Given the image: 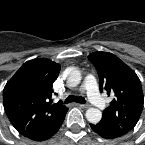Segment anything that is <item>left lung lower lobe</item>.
Listing matches in <instances>:
<instances>
[{
  "label": "left lung lower lobe",
  "instance_id": "left-lung-lower-lobe-1",
  "mask_svg": "<svg viewBox=\"0 0 145 145\" xmlns=\"http://www.w3.org/2000/svg\"><path fill=\"white\" fill-rule=\"evenodd\" d=\"M90 126L95 133H97L98 135H100L105 139H114L122 136L118 133L108 130L107 128L101 126L100 124H91Z\"/></svg>",
  "mask_w": 145,
  "mask_h": 145
}]
</instances>
